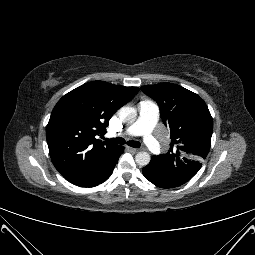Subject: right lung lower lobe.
Wrapping results in <instances>:
<instances>
[{
  "label": "right lung lower lobe",
  "instance_id": "obj_1",
  "mask_svg": "<svg viewBox=\"0 0 255 255\" xmlns=\"http://www.w3.org/2000/svg\"><path fill=\"white\" fill-rule=\"evenodd\" d=\"M124 152V147L119 146L116 152V155L114 158L102 169L97 171L96 173L92 174L91 176L82 179L77 182H73V184L80 186V187H95L101 183H103L105 180L109 178V176L112 174V171L115 167V165L118 162V159L120 155Z\"/></svg>",
  "mask_w": 255,
  "mask_h": 255
}]
</instances>
